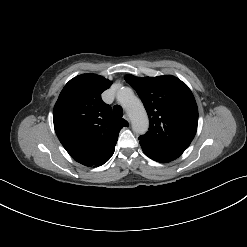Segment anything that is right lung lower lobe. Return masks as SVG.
I'll return each instance as SVG.
<instances>
[{"mask_svg": "<svg viewBox=\"0 0 247 247\" xmlns=\"http://www.w3.org/2000/svg\"><path fill=\"white\" fill-rule=\"evenodd\" d=\"M116 145V144H115ZM115 145L113 147H111L107 152L106 154L95 164L93 165V167H98V166H101L103 165L104 163H106L110 158L111 156L113 155L114 153V150H115Z\"/></svg>", "mask_w": 247, "mask_h": 247, "instance_id": "obj_1", "label": "right lung lower lobe"}]
</instances>
